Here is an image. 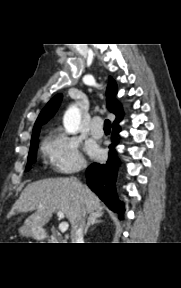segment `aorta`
Segmentation results:
<instances>
[{
  "instance_id": "762f6f07",
  "label": "aorta",
  "mask_w": 181,
  "mask_h": 288,
  "mask_svg": "<svg viewBox=\"0 0 181 288\" xmlns=\"http://www.w3.org/2000/svg\"><path fill=\"white\" fill-rule=\"evenodd\" d=\"M81 114L76 105L71 106L63 117V124L67 133L75 134L80 126Z\"/></svg>"
}]
</instances>
